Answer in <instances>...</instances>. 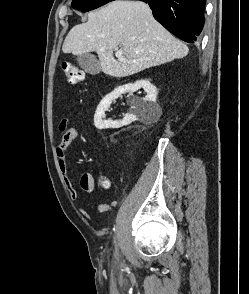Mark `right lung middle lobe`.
I'll return each instance as SVG.
<instances>
[{
    "label": "right lung middle lobe",
    "mask_w": 249,
    "mask_h": 294,
    "mask_svg": "<svg viewBox=\"0 0 249 294\" xmlns=\"http://www.w3.org/2000/svg\"><path fill=\"white\" fill-rule=\"evenodd\" d=\"M113 0H73L72 7L82 12H87L105 5Z\"/></svg>",
    "instance_id": "1"
}]
</instances>
